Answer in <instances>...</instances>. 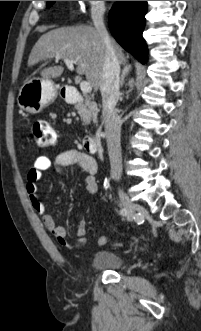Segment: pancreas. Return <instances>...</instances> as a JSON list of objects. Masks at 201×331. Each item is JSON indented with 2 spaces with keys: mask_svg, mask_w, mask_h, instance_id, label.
<instances>
[{
  "mask_svg": "<svg viewBox=\"0 0 201 331\" xmlns=\"http://www.w3.org/2000/svg\"><path fill=\"white\" fill-rule=\"evenodd\" d=\"M85 102L84 104H78L76 109L83 121L84 125H89L91 122L97 121V115L99 109L97 104L94 101H91V98L87 95H84Z\"/></svg>",
  "mask_w": 201,
  "mask_h": 331,
  "instance_id": "pancreas-1",
  "label": "pancreas"
}]
</instances>
